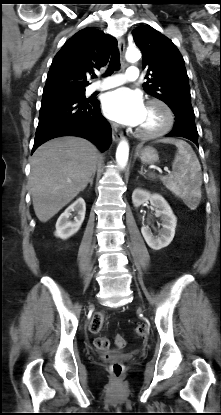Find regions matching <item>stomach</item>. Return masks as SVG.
I'll list each match as a JSON object with an SVG mask.
<instances>
[{"instance_id":"0dacf381","label":"stomach","mask_w":221,"mask_h":415,"mask_svg":"<svg viewBox=\"0 0 221 415\" xmlns=\"http://www.w3.org/2000/svg\"><path fill=\"white\" fill-rule=\"evenodd\" d=\"M136 155L143 163L147 164H154L159 160L158 152L151 146L139 147L136 150Z\"/></svg>"}]
</instances>
